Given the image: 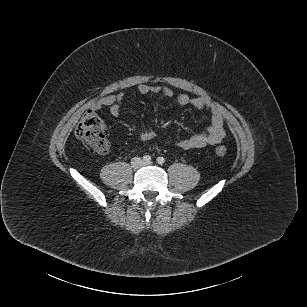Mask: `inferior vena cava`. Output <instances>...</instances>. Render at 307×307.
Returning <instances> with one entry per match:
<instances>
[{
    "label": "inferior vena cava",
    "mask_w": 307,
    "mask_h": 307,
    "mask_svg": "<svg viewBox=\"0 0 307 307\" xmlns=\"http://www.w3.org/2000/svg\"><path fill=\"white\" fill-rule=\"evenodd\" d=\"M131 166L133 168H140L142 166V159L140 157H133L131 159Z\"/></svg>",
    "instance_id": "inferior-vena-cava-1"
}]
</instances>
